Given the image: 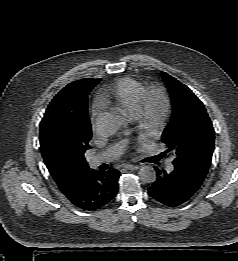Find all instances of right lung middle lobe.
<instances>
[{
  "instance_id": "dd1d6c3e",
  "label": "right lung middle lobe",
  "mask_w": 238,
  "mask_h": 261,
  "mask_svg": "<svg viewBox=\"0 0 238 261\" xmlns=\"http://www.w3.org/2000/svg\"><path fill=\"white\" fill-rule=\"evenodd\" d=\"M87 93L70 83L48 105L39 134L40 150L46 166L70 165L73 162L71 152L57 135L55 123L65 118H76V110L86 108Z\"/></svg>"
}]
</instances>
